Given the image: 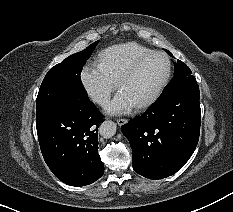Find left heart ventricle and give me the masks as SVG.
I'll return each mask as SVG.
<instances>
[{"mask_svg":"<svg viewBox=\"0 0 233 212\" xmlns=\"http://www.w3.org/2000/svg\"><path fill=\"white\" fill-rule=\"evenodd\" d=\"M166 69L164 57L151 56L143 62L134 76L121 86L120 91H123L135 106L154 92L164 78Z\"/></svg>","mask_w":233,"mask_h":212,"instance_id":"left-heart-ventricle-1","label":"left heart ventricle"}]
</instances>
